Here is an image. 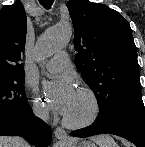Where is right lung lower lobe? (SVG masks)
Masks as SVG:
<instances>
[{
	"mask_svg": "<svg viewBox=\"0 0 145 147\" xmlns=\"http://www.w3.org/2000/svg\"><path fill=\"white\" fill-rule=\"evenodd\" d=\"M0 136H24L37 147H47L51 143L49 126L35 117L30 106L22 114L0 118Z\"/></svg>",
	"mask_w": 145,
	"mask_h": 147,
	"instance_id": "right-lung-lower-lobe-1",
	"label": "right lung lower lobe"
}]
</instances>
